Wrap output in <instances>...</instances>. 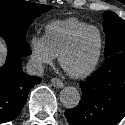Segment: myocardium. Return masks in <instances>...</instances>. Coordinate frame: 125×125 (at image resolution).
I'll list each match as a JSON object with an SVG mask.
<instances>
[{
	"label": "myocardium",
	"instance_id": "obj_1",
	"mask_svg": "<svg viewBox=\"0 0 125 125\" xmlns=\"http://www.w3.org/2000/svg\"><path fill=\"white\" fill-rule=\"evenodd\" d=\"M95 30L98 35H99V48H98V51L94 57V59L92 60V62L90 63V65L80 71V72H70L68 71L65 66H64V58L65 56L67 55V53L72 49V47L74 46L75 42L77 41L78 37L85 31L87 30ZM103 46H104V39H103V34H102V31L94 26V25H88L84 28H81L79 29L78 31H76L71 37L70 39L67 41V43L63 46V48L61 49L59 55H58V61H59V64L61 66V68L72 78H75V79H82V78H85L87 76H89L93 71L94 69L96 68L100 58H101V55H102V51H103Z\"/></svg>",
	"mask_w": 125,
	"mask_h": 125
}]
</instances>
